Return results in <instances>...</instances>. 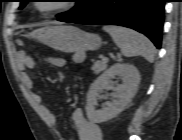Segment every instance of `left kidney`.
<instances>
[{
	"instance_id": "1",
	"label": "left kidney",
	"mask_w": 182,
	"mask_h": 140,
	"mask_svg": "<svg viewBox=\"0 0 182 140\" xmlns=\"http://www.w3.org/2000/svg\"><path fill=\"white\" fill-rule=\"evenodd\" d=\"M115 76H119L123 83L114 86L111 79ZM140 79V73L134 66L124 63L112 65L92 83L89 89L86 105L88 119L94 123H102L116 117L134 97ZM103 89L115 91L116 99L97 110V99Z\"/></svg>"
}]
</instances>
